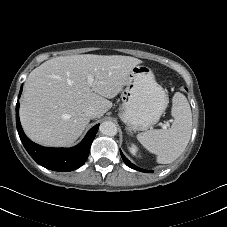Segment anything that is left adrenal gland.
I'll use <instances>...</instances> for the list:
<instances>
[{"instance_id": "obj_1", "label": "left adrenal gland", "mask_w": 227, "mask_h": 227, "mask_svg": "<svg viewBox=\"0 0 227 227\" xmlns=\"http://www.w3.org/2000/svg\"><path fill=\"white\" fill-rule=\"evenodd\" d=\"M127 131H128L129 134H132V132L129 128H127Z\"/></svg>"}]
</instances>
